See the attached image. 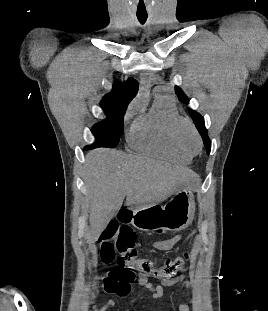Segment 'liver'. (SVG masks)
<instances>
[{
    "instance_id": "liver-1",
    "label": "liver",
    "mask_w": 268,
    "mask_h": 311,
    "mask_svg": "<svg viewBox=\"0 0 268 311\" xmlns=\"http://www.w3.org/2000/svg\"><path fill=\"white\" fill-rule=\"evenodd\" d=\"M83 169L88 193L85 203L89 210V243L97 239L120 210L125 197L127 206H152L196 178L183 166L109 149L88 152Z\"/></svg>"
}]
</instances>
